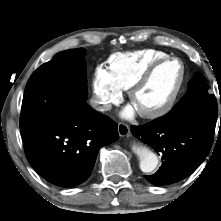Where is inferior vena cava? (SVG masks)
Segmentation results:
<instances>
[{"label":"inferior vena cava","mask_w":221,"mask_h":221,"mask_svg":"<svg viewBox=\"0 0 221 221\" xmlns=\"http://www.w3.org/2000/svg\"><path fill=\"white\" fill-rule=\"evenodd\" d=\"M91 106L98 111H107L111 109V105L109 104H101V101L97 98H91L90 100Z\"/></svg>","instance_id":"obj_1"}]
</instances>
